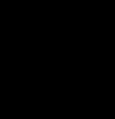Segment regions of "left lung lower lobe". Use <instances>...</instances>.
<instances>
[{
  "label": "left lung lower lobe",
  "instance_id": "0a47b994",
  "mask_svg": "<svg viewBox=\"0 0 115 119\" xmlns=\"http://www.w3.org/2000/svg\"><path fill=\"white\" fill-rule=\"evenodd\" d=\"M77 93L84 99L106 103L115 99V78H107V82H103V86L97 81L87 80L83 84L76 87Z\"/></svg>",
  "mask_w": 115,
  "mask_h": 119
}]
</instances>
